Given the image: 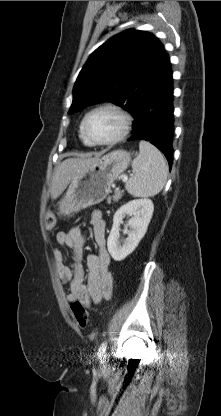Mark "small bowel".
I'll list each match as a JSON object with an SVG mask.
<instances>
[{"mask_svg":"<svg viewBox=\"0 0 221 416\" xmlns=\"http://www.w3.org/2000/svg\"><path fill=\"white\" fill-rule=\"evenodd\" d=\"M90 225L94 241L98 247L97 253L86 256L87 282L84 281L83 253L86 235L81 227L74 226L68 231L58 232L56 240L59 245L73 251V264L67 265L64 253L60 249L53 250V258L58 275L63 282L69 284L66 295L68 301H79L90 307L102 300H108L113 291V275L110 270V256L106 250L105 220L99 211H94L90 217Z\"/></svg>","mask_w":221,"mask_h":416,"instance_id":"small-bowel-1","label":"small bowel"}]
</instances>
